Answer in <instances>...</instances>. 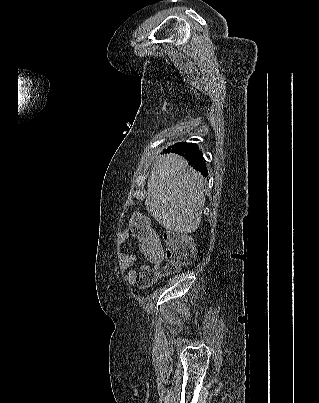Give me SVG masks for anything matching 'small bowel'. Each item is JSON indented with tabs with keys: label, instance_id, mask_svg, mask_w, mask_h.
I'll return each instance as SVG.
<instances>
[{
	"label": "small bowel",
	"instance_id": "c3829d8e",
	"mask_svg": "<svg viewBox=\"0 0 319 403\" xmlns=\"http://www.w3.org/2000/svg\"><path fill=\"white\" fill-rule=\"evenodd\" d=\"M131 236H133V234H132L131 231H130V232H128V231H125V232H124V237L128 238V237H131ZM135 262H136V255H135L134 253L125 254V255L123 256V259H122V262H121V268H122L123 270H129V269H131V268L135 265ZM154 266H158V264H156V265H154ZM149 269H150V267H149L147 264H142V265H140V267H139V270H140L141 272H142V271L149 270ZM137 277H138V272H137V270H129V271H128V273H127V279H128L131 283H135V282L137 281Z\"/></svg>",
	"mask_w": 319,
	"mask_h": 403
}]
</instances>
